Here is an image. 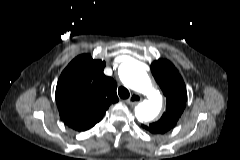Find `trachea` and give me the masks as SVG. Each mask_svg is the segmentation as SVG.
Here are the masks:
<instances>
[{
    "label": "trachea",
    "instance_id": "1",
    "mask_svg": "<svg viewBox=\"0 0 240 160\" xmlns=\"http://www.w3.org/2000/svg\"><path fill=\"white\" fill-rule=\"evenodd\" d=\"M118 95L120 96V98L122 99H127L130 95L128 89L124 86L119 87L118 89Z\"/></svg>",
    "mask_w": 240,
    "mask_h": 160
}]
</instances>
